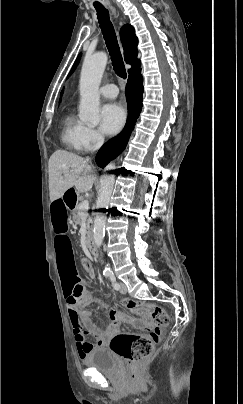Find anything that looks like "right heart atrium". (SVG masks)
Listing matches in <instances>:
<instances>
[{"instance_id": "obj_1", "label": "right heart atrium", "mask_w": 243, "mask_h": 404, "mask_svg": "<svg viewBox=\"0 0 243 404\" xmlns=\"http://www.w3.org/2000/svg\"><path fill=\"white\" fill-rule=\"evenodd\" d=\"M104 142L103 135L90 126H82L78 135L77 151L89 152L99 149Z\"/></svg>"}]
</instances>
